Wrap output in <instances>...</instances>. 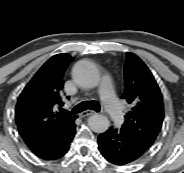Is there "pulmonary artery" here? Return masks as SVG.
<instances>
[{
    "instance_id": "pulmonary-artery-1",
    "label": "pulmonary artery",
    "mask_w": 184,
    "mask_h": 173,
    "mask_svg": "<svg viewBox=\"0 0 184 173\" xmlns=\"http://www.w3.org/2000/svg\"><path fill=\"white\" fill-rule=\"evenodd\" d=\"M101 98L111 118L120 123L123 119L122 105L117 99L110 77L105 76L100 85Z\"/></svg>"
}]
</instances>
